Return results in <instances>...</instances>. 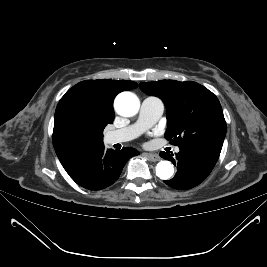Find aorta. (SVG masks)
Masks as SVG:
<instances>
[{
  "label": "aorta",
  "mask_w": 267,
  "mask_h": 267,
  "mask_svg": "<svg viewBox=\"0 0 267 267\" xmlns=\"http://www.w3.org/2000/svg\"><path fill=\"white\" fill-rule=\"evenodd\" d=\"M140 108L138 97L131 92H122L115 99V109L121 116L131 117L137 114ZM156 175L160 179L167 180L172 177L174 167L170 161L163 160L156 165Z\"/></svg>",
  "instance_id": "1"
}]
</instances>
